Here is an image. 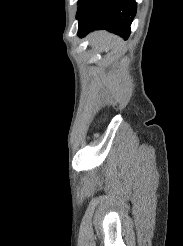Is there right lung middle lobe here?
<instances>
[{"label":"right lung middle lobe","instance_id":"1","mask_svg":"<svg viewBox=\"0 0 183 246\" xmlns=\"http://www.w3.org/2000/svg\"><path fill=\"white\" fill-rule=\"evenodd\" d=\"M82 0H79L78 4L81 2Z\"/></svg>","mask_w":183,"mask_h":246}]
</instances>
